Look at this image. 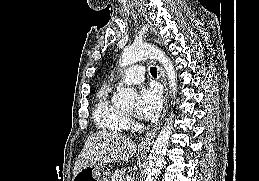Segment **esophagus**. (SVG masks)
I'll return each mask as SVG.
<instances>
[{
  "label": "esophagus",
  "mask_w": 259,
  "mask_h": 181,
  "mask_svg": "<svg viewBox=\"0 0 259 181\" xmlns=\"http://www.w3.org/2000/svg\"><path fill=\"white\" fill-rule=\"evenodd\" d=\"M158 72H159V75H160V78H161V81H162V84L164 86V108H163V113H162V117H161V121L160 123L158 124V126L153 129L152 131H150L146 137L140 142L139 144V149L140 150H147L151 147V145L153 144V141L160 129V126L163 122V119L166 115V112H167V107H168V88H167V81H166V78H165V75L162 71V68L159 66L158 67Z\"/></svg>",
  "instance_id": "1"
}]
</instances>
